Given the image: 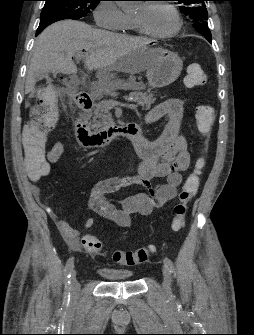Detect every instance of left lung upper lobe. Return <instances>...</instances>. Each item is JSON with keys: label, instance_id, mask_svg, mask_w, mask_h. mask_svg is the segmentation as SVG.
I'll return each mask as SVG.
<instances>
[{"label": "left lung upper lobe", "instance_id": "1", "mask_svg": "<svg viewBox=\"0 0 254 335\" xmlns=\"http://www.w3.org/2000/svg\"><path fill=\"white\" fill-rule=\"evenodd\" d=\"M183 4L180 6L181 12L186 15L192 22L195 29L201 33L208 41L211 40V33L208 28L207 9L204 1L206 0H176Z\"/></svg>", "mask_w": 254, "mask_h": 335}]
</instances>
